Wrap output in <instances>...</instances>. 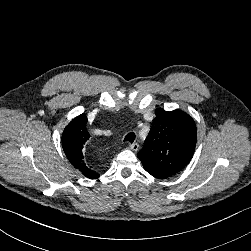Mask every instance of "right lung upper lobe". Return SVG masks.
Segmentation results:
<instances>
[{"label": "right lung upper lobe", "mask_w": 251, "mask_h": 251, "mask_svg": "<svg viewBox=\"0 0 251 251\" xmlns=\"http://www.w3.org/2000/svg\"><path fill=\"white\" fill-rule=\"evenodd\" d=\"M86 123L87 117L84 114L74 118L64 129L62 146L68 160L76 169L90 179H97L99 174L88 167L82 153L83 146L90 136Z\"/></svg>", "instance_id": "right-lung-upper-lobe-1"}]
</instances>
